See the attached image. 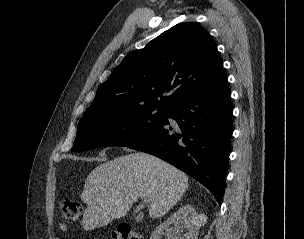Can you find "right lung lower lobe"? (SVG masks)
I'll return each mask as SVG.
<instances>
[{
  "label": "right lung lower lobe",
  "instance_id": "1",
  "mask_svg": "<svg viewBox=\"0 0 304 239\" xmlns=\"http://www.w3.org/2000/svg\"><path fill=\"white\" fill-rule=\"evenodd\" d=\"M232 113L223 73L207 87L170 104L159 127L127 147L184 171L203 184L221 205L233 133Z\"/></svg>",
  "mask_w": 304,
  "mask_h": 239
}]
</instances>
